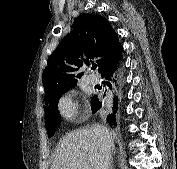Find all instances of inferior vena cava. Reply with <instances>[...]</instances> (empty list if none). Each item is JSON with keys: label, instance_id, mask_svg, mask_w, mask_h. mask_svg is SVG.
<instances>
[{"label": "inferior vena cava", "instance_id": "inferior-vena-cava-1", "mask_svg": "<svg viewBox=\"0 0 177 169\" xmlns=\"http://www.w3.org/2000/svg\"><path fill=\"white\" fill-rule=\"evenodd\" d=\"M93 129L100 143V153L102 160L101 169H111L112 150L114 147L113 137L103 126L95 125Z\"/></svg>", "mask_w": 177, "mask_h": 169}]
</instances>
